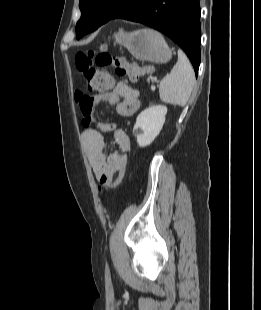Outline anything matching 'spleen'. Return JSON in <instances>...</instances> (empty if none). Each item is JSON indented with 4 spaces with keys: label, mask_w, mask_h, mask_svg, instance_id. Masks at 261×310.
I'll list each match as a JSON object with an SVG mask.
<instances>
[{
    "label": "spleen",
    "mask_w": 261,
    "mask_h": 310,
    "mask_svg": "<svg viewBox=\"0 0 261 310\" xmlns=\"http://www.w3.org/2000/svg\"><path fill=\"white\" fill-rule=\"evenodd\" d=\"M194 84L193 67L183 51L178 50L177 63L160 82V99L172 105L185 106L190 98Z\"/></svg>",
    "instance_id": "1"
}]
</instances>
